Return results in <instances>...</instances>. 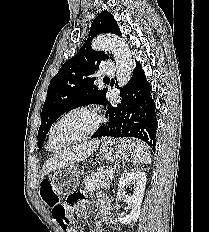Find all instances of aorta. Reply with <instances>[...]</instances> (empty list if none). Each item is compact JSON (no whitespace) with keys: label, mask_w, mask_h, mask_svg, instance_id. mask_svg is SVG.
I'll list each match as a JSON object with an SVG mask.
<instances>
[{"label":"aorta","mask_w":209,"mask_h":232,"mask_svg":"<svg viewBox=\"0 0 209 232\" xmlns=\"http://www.w3.org/2000/svg\"><path fill=\"white\" fill-rule=\"evenodd\" d=\"M92 48L94 50H109L114 54L118 85L125 86L130 79L133 65L127 43L116 36L99 35L92 41Z\"/></svg>","instance_id":"762f6f07"}]
</instances>
